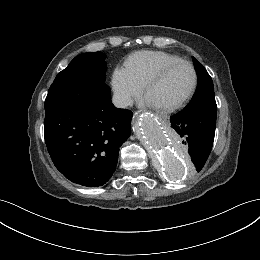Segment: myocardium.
<instances>
[{"instance_id":"myocardium-1","label":"myocardium","mask_w":260,"mask_h":260,"mask_svg":"<svg viewBox=\"0 0 260 260\" xmlns=\"http://www.w3.org/2000/svg\"><path fill=\"white\" fill-rule=\"evenodd\" d=\"M180 64H185V65L189 66V68L191 69L192 79H191L190 86L187 89V91L185 92V94L180 99H178L175 102H172L170 104L157 106L159 109H161L163 111H173L175 109H178L190 98V96L192 95V93L195 89L196 83H197V73H196L194 66L189 61L182 60V59L165 64V65L161 66L159 69H157L150 76V78L148 79V81L146 83L145 94H146V96H148L152 87L156 83H158L169 70H171L172 68H174Z\"/></svg>"}]
</instances>
